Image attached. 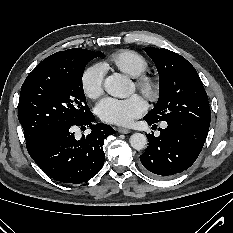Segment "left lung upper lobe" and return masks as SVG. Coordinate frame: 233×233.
Returning <instances> with one entry per match:
<instances>
[{
    "label": "left lung upper lobe",
    "instance_id": "left-lung-upper-lobe-1",
    "mask_svg": "<svg viewBox=\"0 0 233 233\" xmlns=\"http://www.w3.org/2000/svg\"><path fill=\"white\" fill-rule=\"evenodd\" d=\"M159 74V100L144 117L159 121L190 120L210 126L207 93L195 68L184 57L167 49L144 48Z\"/></svg>",
    "mask_w": 233,
    "mask_h": 233
}]
</instances>
